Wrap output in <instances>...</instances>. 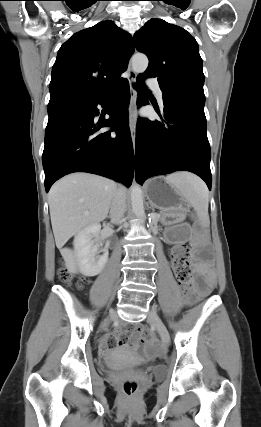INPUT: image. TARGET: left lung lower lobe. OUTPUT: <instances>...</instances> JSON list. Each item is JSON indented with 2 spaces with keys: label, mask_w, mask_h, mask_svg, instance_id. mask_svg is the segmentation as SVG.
I'll return each instance as SVG.
<instances>
[{
  "label": "left lung lower lobe",
  "mask_w": 261,
  "mask_h": 427,
  "mask_svg": "<svg viewBox=\"0 0 261 427\" xmlns=\"http://www.w3.org/2000/svg\"><path fill=\"white\" fill-rule=\"evenodd\" d=\"M137 82L145 86L139 77ZM138 96V106L149 104L144 94ZM204 103L205 97L186 91L163 93L165 122L138 119L135 177L140 184L151 176L185 170L201 177L211 190Z\"/></svg>",
  "instance_id": "obj_1"
}]
</instances>
